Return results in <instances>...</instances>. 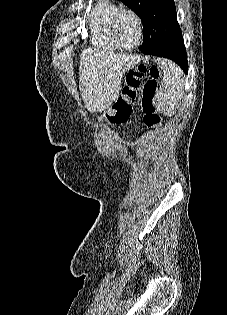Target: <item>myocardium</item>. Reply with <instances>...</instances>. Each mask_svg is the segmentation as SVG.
<instances>
[{"instance_id":"1","label":"myocardium","mask_w":227,"mask_h":315,"mask_svg":"<svg viewBox=\"0 0 227 315\" xmlns=\"http://www.w3.org/2000/svg\"><path fill=\"white\" fill-rule=\"evenodd\" d=\"M125 15H130L132 16L136 23H137V28H138V41L137 43L132 46V47H125L123 46L119 40H118V37H117V34H116V27L119 23V21L121 20V18ZM110 33H111V38L114 42V44L120 48L121 50H124V51H134L136 49H138L142 42H143V39H144V23H143V20L141 18V16L139 15V13L137 11H135L134 9H131V8H122L120 9L117 14L114 16L113 20H112V23H111V29H110Z\"/></svg>"}]
</instances>
